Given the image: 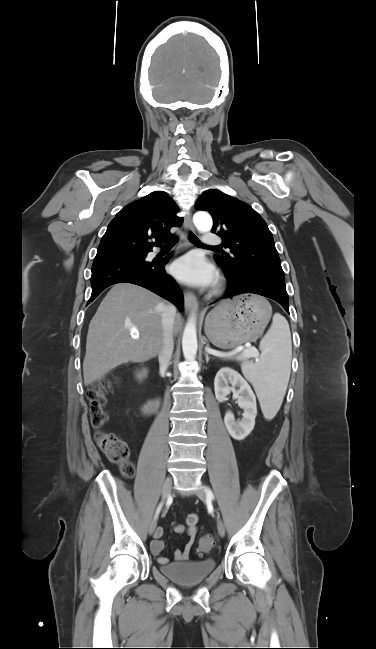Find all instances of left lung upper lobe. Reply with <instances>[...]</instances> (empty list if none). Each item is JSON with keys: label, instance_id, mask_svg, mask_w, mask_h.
Instances as JSON below:
<instances>
[{"label": "left lung upper lobe", "instance_id": "5c2ea615", "mask_svg": "<svg viewBox=\"0 0 376 649\" xmlns=\"http://www.w3.org/2000/svg\"><path fill=\"white\" fill-rule=\"evenodd\" d=\"M195 208L210 212L212 232L230 249V253L214 255L222 268L235 278L243 276L247 269H260L285 279L272 233L252 207L215 189L205 191Z\"/></svg>", "mask_w": 376, "mask_h": 649}]
</instances>
